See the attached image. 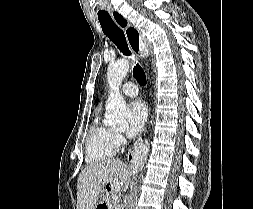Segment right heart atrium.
Returning <instances> with one entry per match:
<instances>
[{"instance_id": "d8ad5b80", "label": "right heart atrium", "mask_w": 253, "mask_h": 209, "mask_svg": "<svg viewBox=\"0 0 253 209\" xmlns=\"http://www.w3.org/2000/svg\"><path fill=\"white\" fill-rule=\"evenodd\" d=\"M114 138H115V142H116L117 145H120L123 141L122 135L118 132L114 133Z\"/></svg>"}]
</instances>
